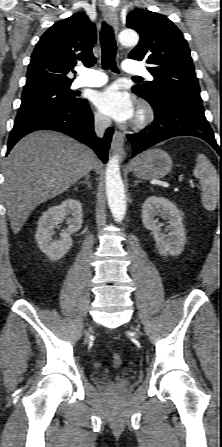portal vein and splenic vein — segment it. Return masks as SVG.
I'll use <instances>...</instances> for the list:
<instances>
[{
	"mask_svg": "<svg viewBox=\"0 0 222 447\" xmlns=\"http://www.w3.org/2000/svg\"><path fill=\"white\" fill-rule=\"evenodd\" d=\"M182 180H183V176L181 175V176H179V181H182ZM190 187L195 188L196 185L193 182H190Z\"/></svg>",
	"mask_w": 222,
	"mask_h": 447,
	"instance_id": "18ae733b",
	"label": "portal vein and splenic vein"
}]
</instances>
